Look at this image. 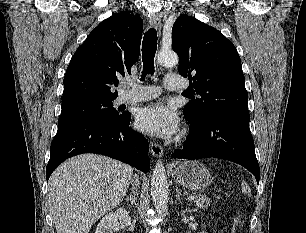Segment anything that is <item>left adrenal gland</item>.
<instances>
[{"label":"left adrenal gland","instance_id":"obj_1","mask_svg":"<svg viewBox=\"0 0 306 233\" xmlns=\"http://www.w3.org/2000/svg\"><path fill=\"white\" fill-rule=\"evenodd\" d=\"M176 193H177V194H176V197H175V198H176V200H179V198H180V196H181L182 194H181V191H180V189H179L178 187H176Z\"/></svg>","mask_w":306,"mask_h":233}]
</instances>
